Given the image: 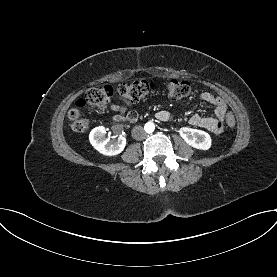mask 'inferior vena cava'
<instances>
[{"label": "inferior vena cava", "instance_id": "obj_1", "mask_svg": "<svg viewBox=\"0 0 277 277\" xmlns=\"http://www.w3.org/2000/svg\"><path fill=\"white\" fill-rule=\"evenodd\" d=\"M132 137L135 139V140H143L146 138L147 136V133L145 132L144 128L142 126H135L133 129H132Z\"/></svg>", "mask_w": 277, "mask_h": 277}]
</instances>
